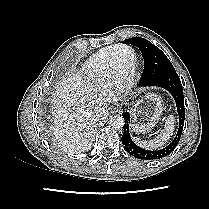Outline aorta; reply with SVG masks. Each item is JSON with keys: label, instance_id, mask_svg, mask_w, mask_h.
Segmentation results:
<instances>
[{"label": "aorta", "instance_id": "obj_1", "mask_svg": "<svg viewBox=\"0 0 209 209\" xmlns=\"http://www.w3.org/2000/svg\"><path fill=\"white\" fill-rule=\"evenodd\" d=\"M124 124L125 122L122 115L115 114V115H111L109 118V125L112 126V128L114 129H118V130L122 129Z\"/></svg>", "mask_w": 209, "mask_h": 209}]
</instances>
